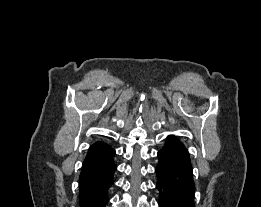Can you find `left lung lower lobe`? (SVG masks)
Masks as SVG:
<instances>
[{
	"label": "left lung lower lobe",
	"instance_id": "left-lung-lower-lobe-1",
	"mask_svg": "<svg viewBox=\"0 0 261 207\" xmlns=\"http://www.w3.org/2000/svg\"><path fill=\"white\" fill-rule=\"evenodd\" d=\"M158 158L155 172L159 207H195L192 164L185 145L169 135Z\"/></svg>",
	"mask_w": 261,
	"mask_h": 207
}]
</instances>
